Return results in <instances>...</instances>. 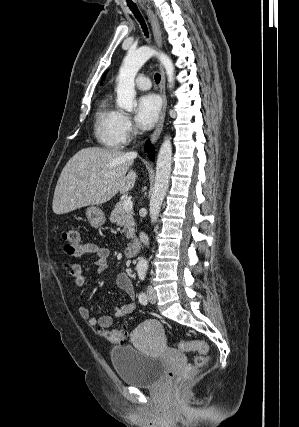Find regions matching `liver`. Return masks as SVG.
Wrapping results in <instances>:
<instances>
[{
  "instance_id": "6515ba94",
  "label": "liver",
  "mask_w": 299,
  "mask_h": 427,
  "mask_svg": "<svg viewBox=\"0 0 299 427\" xmlns=\"http://www.w3.org/2000/svg\"><path fill=\"white\" fill-rule=\"evenodd\" d=\"M135 153L88 147L78 151L65 165L58 179L53 212L66 214L84 206L103 204L118 192L125 194L135 184L130 170Z\"/></svg>"
}]
</instances>
